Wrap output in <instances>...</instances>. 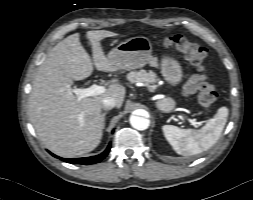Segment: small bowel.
Here are the masks:
<instances>
[{
    "label": "small bowel",
    "instance_id": "small-bowel-1",
    "mask_svg": "<svg viewBox=\"0 0 253 200\" xmlns=\"http://www.w3.org/2000/svg\"><path fill=\"white\" fill-rule=\"evenodd\" d=\"M152 66H157V60H151ZM202 75H192L185 85V92L191 94L196 90L197 84L200 82Z\"/></svg>",
    "mask_w": 253,
    "mask_h": 200
}]
</instances>
